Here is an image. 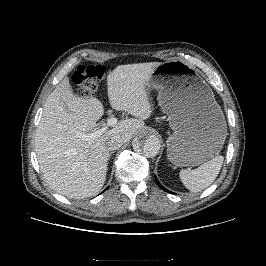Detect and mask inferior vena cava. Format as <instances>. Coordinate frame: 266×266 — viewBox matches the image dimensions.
I'll return each mask as SVG.
<instances>
[{
	"label": "inferior vena cava",
	"instance_id": "1",
	"mask_svg": "<svg viewBox=\"0 0 266 266\" xmlns=\"http://www.w3.org/2000/svg\"><path fill=\"white\" fill-rule=\"evenodd\" d=\"M126 142L125 138L121 135H113L106 141L108 150L114 151L120 148Z\"/></svg>",
	"mask_w": 266,
	"mask_h": 266
}]
</instances>
